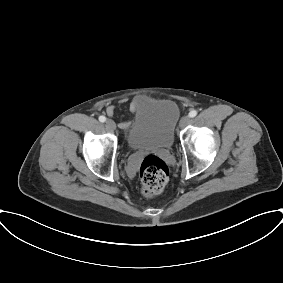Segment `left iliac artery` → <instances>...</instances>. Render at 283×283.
<instances>
[{
	"label": "left iliac artery",
	"mask_w": 283,
	"mask_h": 283,
	"mask_svg": "<svg viewBox=\"0 0 283 283\" xmlns=\"http://www.w3.org/2000/svg\"><path fill=\"white\" fill-rule=\"evenodd\" d=\"M196 115H197V111H196V110H192V111L189 112V117H190V118H193V117H195Z\"/></svg>",
	"instance_id": "left-iliac-artery-1"
}]
</instances>
